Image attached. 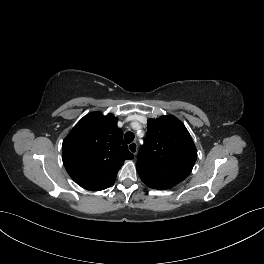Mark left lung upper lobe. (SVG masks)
Instances as JSON below:
<instances>
[{
	"label": "left lung upper lobe",
	"mask_w": 264,
	"mask_h": 264,
	"mask_svg": "<svg viewBox=\"0 0 264 264\" xmlns=\"http://www.w3.org/2000/svg\"><path fill=\"white\" fill-rule=\"evenodd\" d=\"M147 129V137L137 157L138 173L155 167L163 169L178 182L183 181L197 158V150L184 124L172 115L161 116L149 119Z\"/></svg>",
	"instance_id": "left-lung-upper-lobe-1"
}]
</instances>
